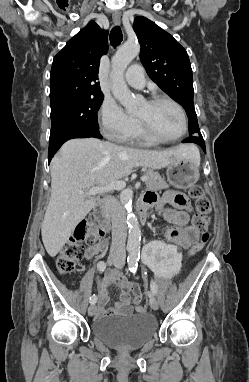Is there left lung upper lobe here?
<instances>
[{
	"label": "left lung upper lobe",
	"mask_w": 249,
	"mask_h": 382,
	"mask_svg": "<svg viewBox=\"0 0 249 382\" xmlns=\"http://www.w3.org/2000/svg\"><path fill=\"white\" fill-rule=\"evenodd\" d=\"M133 29L141 45L140 60L149 77L185 109L189 136L201 135L193 104L192 69L186 50L151 20L137 17Z\"/></svg>",
	"instance_id": "1"
}]
</instances>
